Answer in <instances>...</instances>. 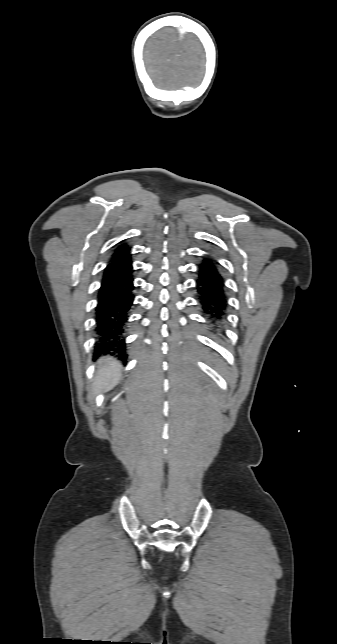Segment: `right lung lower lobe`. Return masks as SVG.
<instances>
[{
  "instance_id": "1",
  "label": "right lung lower lobe",
  "mask_w": 337,
  "mask_h": 644,
  "mask_svg": "<svg viewBox=\"0 0 337 644\" xmlns=\"http://www.w3.org/2000/svg\"><path fill=\"white\" fill-rule=\"evenodd\" d=\"M133 271L130 256L111 260L104 270L96 307L98 353L127 357L123 334L134 300Z\"/></svg>"
}]
</instances>
